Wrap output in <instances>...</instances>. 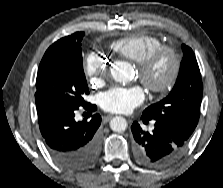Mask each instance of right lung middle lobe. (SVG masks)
<instances>
[{"label": "right lung middle lobe", "mask_w": 223, "mask_h": 188, "mask_svg": "<svg viewBox=\"0 0 223 188\" xmlns=\"http://www.w3.org/2000/svg\"><path fill=\"white\" fill-rule=\"evenodd\" d=\"M83 36L84 32H76L47 49L37 73L36 101L85 104L83 95L89 91L82 64Z\"/></svg>", "instance_id": "obj_1"}]
</instances>
